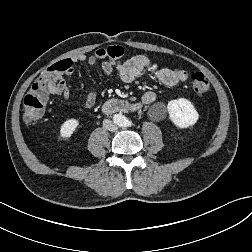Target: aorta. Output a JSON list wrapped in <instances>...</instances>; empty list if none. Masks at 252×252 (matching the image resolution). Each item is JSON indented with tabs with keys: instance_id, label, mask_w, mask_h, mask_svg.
I'll return each instance as SVG.
<instances>
[{
	"instance_id": "aorta-1",
	"label": "aorta",
	"mask_w": 252,
	"mask_h": 252,
	"mask_svg": "<svg viewBox=\"0 0 252 252\" xmlns=\"http://www.w3.org/2000/svg\"><path fill=\"white\" fill-rule=\"evenodd\" d=\"M113 119L114 123L119 127H125L128 125V119L122 114H115Z\"/></svg>"
}]
</instances>
